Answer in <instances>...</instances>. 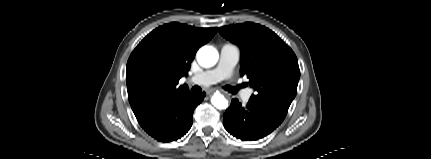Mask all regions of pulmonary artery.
I'll return each instance as SVG.
<instances>
[{"instance_id": "pulmonary-artery-1", "label": "pulmonary artery", "mask_w": 431, "mask_h": 159, "mask_svg": "<svg viewBox=\"0 0 431 159\" xmlns=\"http://www.w3.org/2000/svg\"><path fill=\"white\" fill-rule=\"evenodd\" d=\"M239 60L240 49L232 43H225L221 47L218 64L214 68L207 69L193 75L191 81L195 84L204 86L218 83L232 75ZM252 93V89L243 90L241 92L242 100L247 102Z\"/></svg>"}]
</instances>
